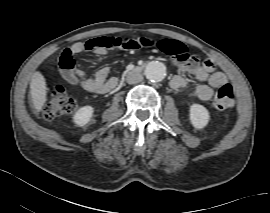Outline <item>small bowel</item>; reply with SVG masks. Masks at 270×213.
I'll return each mask as SVG.
<instances>
[{
  "instance_id": "1",
  "label": "small bowel",
  "mask_w": 270,
  "mask_h": 213,
  "mask_svg": "<svg viewBox=\"0 0 270 213\" xmlns=\"http://www.w3.org/2000/svg\"><path fill=\"white\" fill-rule=\"evenodd\" d=\"M136 39L127 37H94L84 42H77L71 46L64 48L61 52V58H69L77 54H81L86 50H93L98 56H104L109 51L132 50L137 49L139 45ZM173 41L161 42L160 48L166 50L165 44ZM181 44V43H180ZM181 57L174 64L180 71L171 79V87L182 92L187 88V82L183 75L184 72L192 74L199 84L193 91V95L202 100L212 98L214 91L221 88L229 82L227 74L223 71L216 70V65L213 60H207L206 63L200 65L194 59L190 49L181 44ZM63 78L72 85H80L85 90L96 94H106L112 91L118 84L116 77H109L107 68L99 69L93 78L89 77L83 69L73 66L72 70L67 71L62 69Z\"/></svg>"
}]
</instances>
